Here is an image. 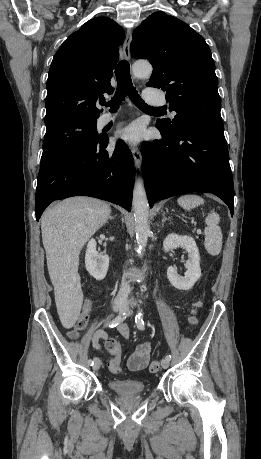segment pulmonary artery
Wrapping results in <instances>:
<instances>
[{
	"label": "pulmonary artery",
	"instance_id": "pulmonary-artery-1",
	"mask_svg": "<svg viewBox=\"0 0 261 459\" xmlns=\"http://www.w3.org/2000/svg\"><path fill=\"white\" fill-rule=\"evenodd\" d=\"M143 97L150 105L160 106L165 103L164 98L151 89L144 90ZM116 117L117 113H104L100 116L98 123L100 126H104L113 121Z\"/></svg>",
	"mask_w": 261,
	"mask_h": 459
}]
</instances>
